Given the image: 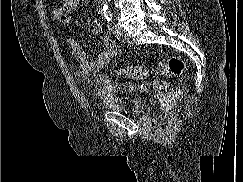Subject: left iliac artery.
I'll return each instance as SVG.
<instances>
[{"instance_id": "obj_1", "label": "left iliac artery", "mask_w": 243, "mask_h": 182, "mask_svg": "<svg viewBox=\"0 0 243 182\" xmlns=\"http://www.w3.org/2000/svg\"><path fill=\"white\" fill-rule=\"evenodd\" d=\"M112 31L113 33L118 37L121 36V31H120V27L117 24H113L112 25Z\"/></svg>"}]
</instances>
